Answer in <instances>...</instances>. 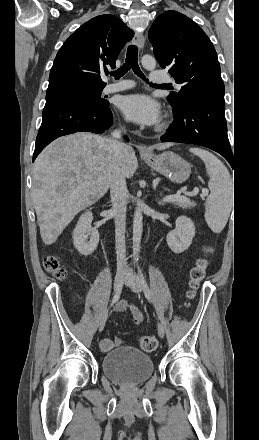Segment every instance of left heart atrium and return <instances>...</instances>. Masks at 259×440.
Returning a JSON list of instances; mask_svg holds the SVG:
<instances>
[{
	"label": "left heart atrium",
	"instance_id": "39dd6f15",
	"mask_svg": "<svg viewBox=\"0 0 259 440\" xmlns=\"http://www.w3.org/2000/svg\"><path fill=\"white\" fill-rule=\"evenodd\" d=\"M118 107L127 118L139 124L154 125L160 120L159 104L146 94L123 96L118 101Z\"/></svg>",
	"mask_w": 259,
	"mask_h": 440
}]
</instances>
